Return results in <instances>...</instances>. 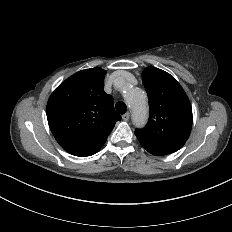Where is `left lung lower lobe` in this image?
I'll use <instances>...</instances> for the list:
<instances>
[{"label": "left lung lower lobe", "instance_id": "0a47b994", "mask_svg": "<svg viewBox=\"0 0 232 232\" xmlns=\"http://www.w3.org/2000/svg\"><path fill=\"white\" fill-rule=\"evenodd\" d=\"M149 153L153 154V155H157V156H162V155H167L170 153H173L175 151L165 148V147H161V146H153V145H145V144H141Z\"/></svg>", "mask_w": 232, "mask_h": 232}]
</instances>
